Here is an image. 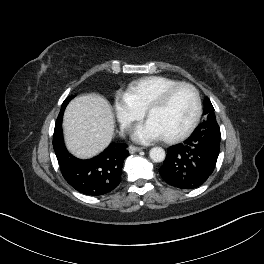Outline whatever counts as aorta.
<instances>
[{"label":"aorta","mask_w":264,"mask_h":264,"mask_svg":"<svg viewBox=\"0 0 264 264\" xmlns=\"http://www.w3.org/2000/svg\"><path fill=\"white\" fill-rule=\"evenodd\" d=\"M149 156L154 162H162L164 161L166 154L163 148L153 147L149 151Z\"/></svg>","instance_id":"1"}]
</instances>
